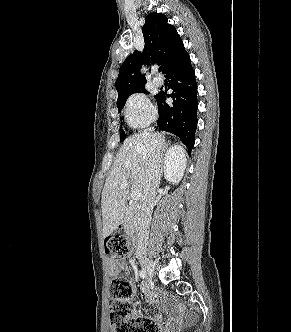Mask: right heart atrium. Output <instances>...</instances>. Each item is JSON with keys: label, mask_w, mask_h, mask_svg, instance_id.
<instances>
[{"label": "right heart atrium", "mask_w": 291, "mask_h": 332, "mask_svg": "<svg viewBox=\"0 0 291 332\" xmlns=\"http://www.w3.org/2000/svg\"><path fill=\"white\" fill-rule=\"evenodd\" d=\"M156 116V111L149 99L142 93L131 95L125 106L127 123L134 128L148 126Z\"/></svg>", "instance_id": "right-heart-atrium-1"}]
</instances>
